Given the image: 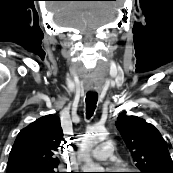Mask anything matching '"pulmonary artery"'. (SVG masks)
<instances>
[{
	"mask_svg": "<svg viewBox=\"0 0 173 173\" xmlns=\"http://www.w3.org/2000/svg\"><path fill=\"white\" fill-rule=\"evenodd\" d=\"M113 152V144L111 141H104L90 153V156L97 161H106Z\"/></svg>",
	"mask_w": 173,
	"mask_h": 173,
	"instance_id": "e3ab8cb5",
	"label": "pulmonary artery"
}]
</instances>
